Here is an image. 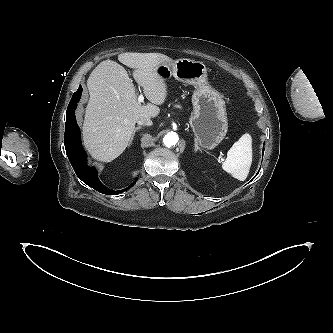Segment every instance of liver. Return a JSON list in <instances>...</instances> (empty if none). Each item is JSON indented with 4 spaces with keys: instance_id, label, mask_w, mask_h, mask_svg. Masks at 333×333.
Here are the masks:
<instances>
[{
    "instance_id": "6515ba94",
    "label": "liver",
    "mask_w": 333,
    "mask_h": 333,
    "mask_svg": "<svg viewBox=\"0 0 333 333\" xmlns=\"http://www.w3.org/2000/svg\"><path fill=\"white\" fill-rule=\"evenodd\" d=\"M118 60L134 69L133 77L151 103L137 101L135 86L123 66L109 59L96 66L87 80L90 99L83 140L90 155L102 162H111L123 153L138 119L158 116L157 105L165 102L167 86L155 69L163 62H173L161 53L126 52L119 54Z\"/></svg>"
}]
</instances>
